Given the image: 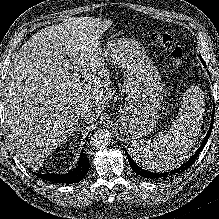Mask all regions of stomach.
<instances>
[{
	"instance_id": "stomach-1",
	"label": "stomach",
	"mask_w": 219,
	"mask_h": 219,
	"mask_svg": "<svg viewBox=\"0 0 219 219\" xmlns=\"http://www.w3.org/2000/svg\"><path fill=\"white\" fill-rule=\"evenodd\" d=\"M102 57L125 70L123 85L128 102L117 116L120 133L128 140L148 135L157 124L164 97L158 70L134 39L110 40L102 49Z\"/></svg>"
}]
</instances>
